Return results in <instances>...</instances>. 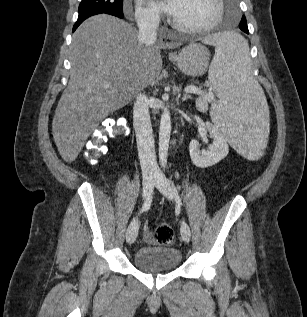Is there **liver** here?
Returning a JSON list of instances; mask_svg holds the SVG:
<instances>
[{
  "label": "liver",
  "mask_w": 307,
  "mask_h": 317,
  "mask_svg": "<svg viewBox=\"0 0 307 317\" xmlns=\"http://www.w3.org/2000/svg\"><path fill=\"white\" fill-rule=\"evenodd\" d=\"M179 45L162 41L140 45L137 29L111 15L84 21L72 37L70 80L52 122L63 160L73 162L92 130L159 76L161 49Z\"/></svg>",
  "instance_id": "6515ba94"
}]
</instances>
